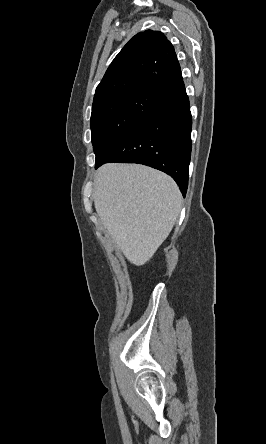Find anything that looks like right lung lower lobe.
<instances>
[{"label":"right lung lower lobe","mask_w":266,"mask_h":444,"mask_svg":"<svg viewBox=\"0 0 266 444\" xmlns=\"http://www.w3.org/2000/svg\"><path fill=\"white\" fill-rule=\"evenodd\" d=\"M192 117L186 92L163 102L141 125L117 143L97 165L139 163L163 171L185 197L191 156Z\"/></svg>","instance_id":"98d812e1"}]
</instances>
